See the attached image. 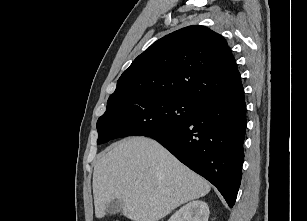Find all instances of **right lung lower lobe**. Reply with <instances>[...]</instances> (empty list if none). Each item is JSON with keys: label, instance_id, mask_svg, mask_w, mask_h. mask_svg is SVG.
<instances>
[{"label": "right lung lower lobe", "instance_id": "right-lung-lower-lobe-1", "mask_svg": "<svg viewBox=\"0 0 307 221\" xmlns=\"http://www.w3.org/2000/svg\"><path fill=\"white\" fill-rule=\"evenodd\" d=\"M245 131L242 90L203 102L188 121L150 137L216 186L232 208L241 182Z\"/></svg>", "mask_w": 307, "mask_h": 221}]
</instances>
